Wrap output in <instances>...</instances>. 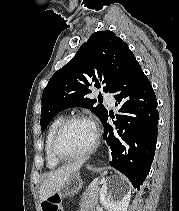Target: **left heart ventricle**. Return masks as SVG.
<instances>
[{"label":"left heart ventricle","instance_id":"left-heart-ventricle-1","mask_svg":"<svg viewBox=\"0 0 179 211\" xmlns=\"http://www.w3.org/2000/svg\"><path fill=\"white\" fill-rule=\"evenodd\" d=\"M95 138V129L89 122L78 121L70 124L60 140V150L65 155H76L87 150Z\"/></svg>","mask_w":179,"mask_h":211}]
</instances>
